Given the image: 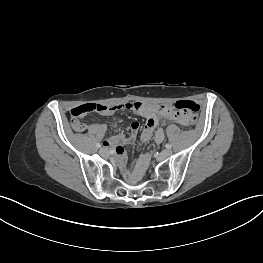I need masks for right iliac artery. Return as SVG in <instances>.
I'll return each mask as SVG.
<instances>
[{
    "instance_id": "right-iliac-artery-1",
    "label": "right iliac artery",
    "mask_w": 263,
    "mask_h": 263,
    "mask_svg": "<svg viewBox=\"0 0 263 263\" xmlns=\"http://www.w3.org/2000/svg\"><path fill=\"white\" fill-rule=\"evenodd\" d=\"M96 146H97V148H101V144L100 143H97Z\"/></svg>"
}]
</instances>
